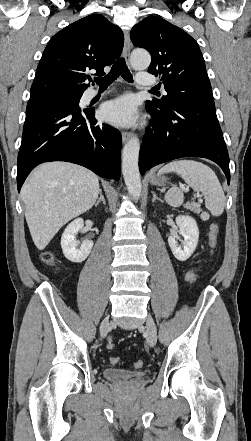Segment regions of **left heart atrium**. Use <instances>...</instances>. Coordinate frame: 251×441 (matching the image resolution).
<instances>
[{
    "mask_svg": "<svg viewBox=\"0 0 251 441\" xmlns=\"http://www.w3.org/2000/svg\"><path fill=\"white\" fill-rule=\"evenodd\" d=\"M101 118L117 126H130L138 120V109L135 100L130 96L106 102L100 110Z\"/></svg>",
    "mask_w": 251,
    "mask_h": 441,
    "instance_id": "39dd6f15",
    "label": "left heart atrium"
}]
</instances>
